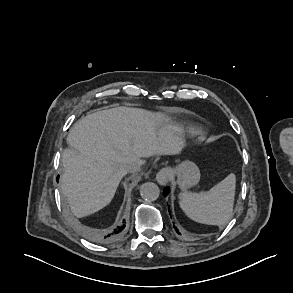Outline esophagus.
I'll list each match as a JSON object with an SVG mask.
<instances>
[{
	"label": "esophagus",
	"instance_id": "1",
	"mask_svg": "<svg viewBox=\"0 0 293 293\" xmlns=\"http://www.w3.org/2000/svg\"><path fill=\"white\" fill-rule=\"evenodd\" d=\"M156 179L159 184L164 185L170 179V170L168 168H162L156 175Z\"/></svg>",
	"mask_w": 293,
	"mask_h": 293
}]
</instances>
